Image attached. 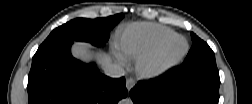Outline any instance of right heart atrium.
I'll return each instance as SVG.
<instances>
[{
    "mask_svg": "<svg viewBox=\"0 0 252 104\" xmlns=\"http://www.w3.org/2000/svg\"><path fill=\"white\" fill-rule=\"evenodd\" d=\"M114 55L116 57V60L119 64L125 66L127 64L126 59L119 53L118 50H114Z\"/></svg>",
    "mask_w": 252,
    "mask_h": 104,
    "instance_id": "d8ad5b80",
    "label": "right heart atrium"
}]
</instances>
